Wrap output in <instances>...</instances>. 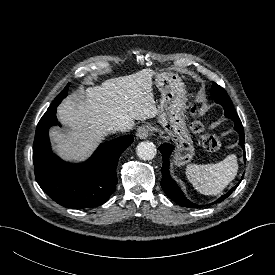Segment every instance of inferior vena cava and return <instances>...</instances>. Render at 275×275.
Returning <instances> with one entry per match:
<instances>
[{
	"mask_svg": "<svg viewBox=\"0 0 275 275\" xmlns=\"http://www.w3.org/2000/svg\"><path fill=\"white\" fill-rule=\"evenodd\" d=\"M133 124L132 123H120L118 124L114 129L116 131H120V132H126V131H129L130 129L133 128Z\"/></svg>",
	"mask_w": 275,
	"mask_h": 275,
	"instance_id": "inferior-vena-cava-1",
	"label": "inferior vena cava"
}]
</instances>
